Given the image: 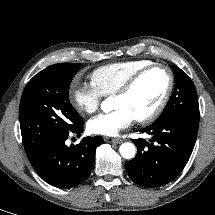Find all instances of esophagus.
<instances>
[{"label": "esophagus", "instance_id": "34e87169", "mask_svg": "<svg viewBox=\"0 0 215 215\" xmlns=\"http://www.w3.org/2000/svg\"><path fill=\"white\" fill-rule=\"evenodd\" d=\"M104 140L108 143H113V144H120L122 142L121 139L112 138V137H106Z\"/></svg>", "mask_w": 215, "mask_h": 215}]
</instances>
